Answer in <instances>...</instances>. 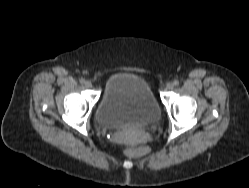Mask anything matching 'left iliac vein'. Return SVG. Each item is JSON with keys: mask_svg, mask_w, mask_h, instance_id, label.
I'll return each instance as SVG.
<instances>
[{"mask_svg": "<svg viewBox=\"0 0 249 188\" xmlns=\"http://www.w3.org/2000/svg\"><path fill=\"white\" fill-rule=\"evenodd\" d=\"M174 88V84L172 83V82H168L167 84H166V89L167 90H172Z\"/></svg>", "mask_w": 249, "mask_h": 188, "instance_id": "obj_1", "label": "left iliac vein"}]
</instances>
